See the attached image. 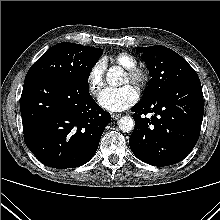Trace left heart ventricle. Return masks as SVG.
<instances>
[{
	"label": "left heart ventricle",
	"instance_id": "left-heart-ventricle-1",
	"mask_svg": "<svg viewBox=\"0 0 220 220\" xmlns=\"http://www.w3.org/2000/svg\"><path fill=\"white\" fill-rule=\"evenodd\" d=\"M129 81V76L127 75V77H126V82H128Z\"/></svg>",
	"mask_w": 220,
	"mask_h": 220
}]
</instances>
